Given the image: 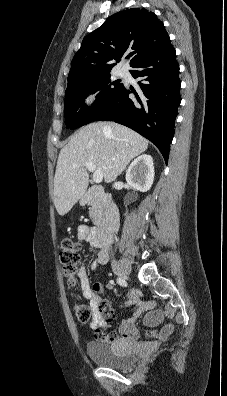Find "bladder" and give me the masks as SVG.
Returning <instances> with one entry per match:
<instances>
[{
  "instance_id": "1",
  "label": "bladder",
  "mask_w": 227,
  "mask_h": 396,
  "mask_svg": "<svg viewBox=\"0 0 227 396\" xmlns=\"http://www.w3.org/2000/svg\"><path fill=\"white\" fill-rule=\"evenodd\" d=\"M86 353L92 362L114 370L130 369L138 360V355L124 342L108 344L91 341L86 345Z\"/></svg>"
}]
</instances>
